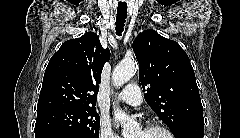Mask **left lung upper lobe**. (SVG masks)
<instances>
[{
	"instance_id": "1",
	"label": "left lung upper lobe",
	"mask_w": 240,
	"mask_h": 138,
	"mask_svg": "<svg viewBox=\"0 0 240 138\" xmlns=\"http://www.w3.org/2000/svg\"><path fill=\"white\" fill-rule=\"evenodd\" d=\"M145 100L176 135L204 122L196 78L189 57L178 43L155 30H145L133 42Z\"/></svg>"
}]
</instances>
